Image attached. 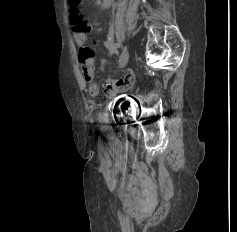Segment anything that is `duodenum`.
<instances>
[{
	"instance_id": "duodenum-1",
	"label": "duodenum",
	"mask_w": 237,
	"mask_h": 232,
	"mask_svg": "<svg viewBox=\"0 0 237 232\" xmlns=\"http://www.w3.org/2000/svg\"><path fill=\"white\" fill-rule=\"evenodd\" d=\"M98 2L101 6L107 7L111 3V0H98Z\"/></svg>"
}]
</instances>
